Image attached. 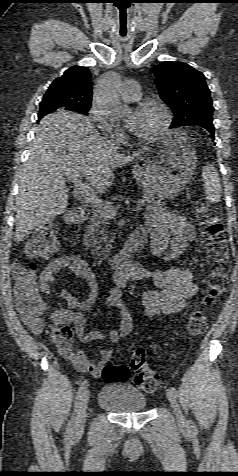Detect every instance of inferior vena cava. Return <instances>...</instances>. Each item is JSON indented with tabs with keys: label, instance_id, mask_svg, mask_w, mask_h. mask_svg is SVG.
I'll return each instance as SVG.
<instances>
[{
	"label": "inferior vena cava",
	"instance_id": "obj_1",
	"mask_svg": "<svg viewBox=\"0 0 238 476\" xmlns=\"http://www.w3.org/2000/svg\"><path fill=\"white\" fill-rule=\"evenodd\" d=\"M108 144H109V147H110V149H112V150H115V151H116V149H117V148H116V146H115V143H114V142H112V141H109V142H108Z\"/></svg>",
	"mask_w": 238,
	"mask_h": 476
}]
</instances>
